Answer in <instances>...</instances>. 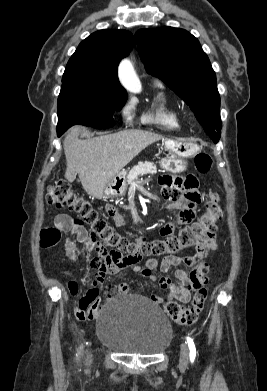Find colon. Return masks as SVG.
Segmentation results:
<instances>
[{
	"label": "colon",
	"instance_id": "colon-1",
	"mask_svg": "<svg viewBox=\"0 0 267 391\" xmlns=\"http://www.w3.org/2000/svg\"><path fill=\"white\" fill-rule=\"evenodd\" d=\"M213 158L207 152H201L195 157V166L198 172L207 173L211 170ZM46 203L55 208H65L78 215L81 223L91 228L88 247L99 255L109 252H124L128 264L138 263L143 257H174L180 252L198 247L217 232V222L222 217L220 198L216 193L211 194L199 218L184 226L176 235L162 237L152 241H131L115 232L108 221L92 206L79 192L72 189L65 181H57L49 186L46 194ZM60 239V232L55 228H47L41 233V245L50 247ZM208 290L200 287L195 292L191 304L183 307L174 301L165 304L167 315L180 325L195 323L207 300Z\"/></svg>",
	"mask_w": 267,
	"mask_h": 391
}]
</instances>
